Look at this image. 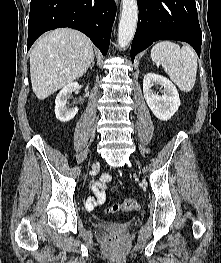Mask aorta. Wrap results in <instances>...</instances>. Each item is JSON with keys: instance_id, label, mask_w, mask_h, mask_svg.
I'll list each match as a JSON object with an SVG mask.
<instances>
[{"instance_id": "762f6f07", "label": "aorta", "mask_w": 221, "mask_h": 263, "mask_svg": "<svg viewBox=\"0 0 221 263\" xmlns=\"http://www.w3.org/2000/svg\"><path fill=\"white\" fill-rule=\"evenodd\" d=\"M138 20L136 0H122V11L118 26V44L120 48L127 47L132 41Z\"/></svg>"}]
</instances>
